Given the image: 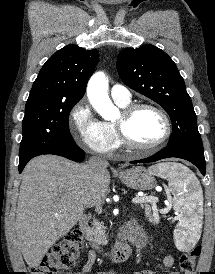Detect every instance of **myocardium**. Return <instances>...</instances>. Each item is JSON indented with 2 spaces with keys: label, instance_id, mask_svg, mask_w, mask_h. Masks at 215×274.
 I'll return each instance as SVG.
<instances>
[{
  "label": "myocardium",
  "instance_id": "obj_1",
  "mask_svg": "<svg viewBox=\"0 0 215 274\" xmlns=\"http://www.w3.org/2000/svg\"><path fill=\"white\" fill-rule=\"evenodd\" d=\"M142 109H150L155 111L163 120L164 122V133L160 139L156 142L149 144V145H139L132 141L129 137L126 125L130 118L139 110ZM115 129L118 135L120 142L128 149L141 151V152H149L153 151L160 146H162L171 136L172 134V124L168 114L159 106L151 103H136L131 104L123 108L122 113L120 115V119L117 120L115 123Z\"/></svg>",
  "mask_w": 215,
  "mask_h": 274
}]
</instances>
